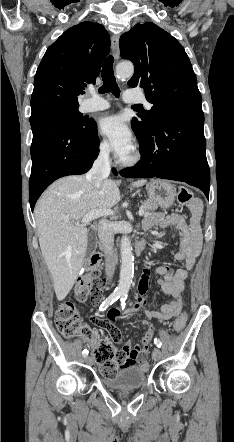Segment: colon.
<instances>
[{"label": "colon", "instance_id": "obj_1", "mask_svg": "<svg viewBox=\"0 0 234 442\" xmlns=\"http://www.w3.org/2000/svg\"><path fill=\"white\" fill-rule=\"evenodd\" d=\"M177 199L181 205L191 204L195 200L193 193L187 188H181L178 191ZM99 263L100 256L98 254L93 255L88 262L86 273L78 279L75 287L78 301L90 300L94 304L101 301L108 281L106 278H100ZM186 320L187 317L184 314L177 318L173 324V330L176 333L181 332L185 327ZM55 321L58 331L65 338H73L80 334L86 340L93 342V355L104 377L115 375L120 367L126 365L124 354L117 352L109 340L95 338L90 328L80 326L78 313L73 303L65 302L61 304L56 311ZM142 369H149V364L145 363V359L142 362Z\"/></svg>", "mask_w": 234, "mask_h": 442}]
</instances>
